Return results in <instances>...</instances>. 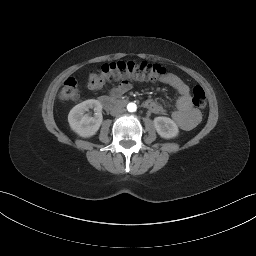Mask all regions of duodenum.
<instances>
[{"mask_svg": "<svg viewBox=\"0 0 256 256\" xmlns=\"http://www.w3.org/2000/svg\"><path fill=\"white\" fill-rule=\"evenodd\" d=\"M100 102L106 110H113L117 108L125 107L128 103L127 100L117 99L110 95H104L101 97Z\"/></svg>", "mask_w": 256, "mask_h": 256, "instance_id": "1", "label": "duodenum"}]
</instances>
